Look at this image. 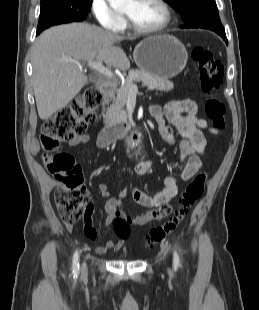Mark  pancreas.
<instances>
[{
  "label": "pancreas",
  "mask_w": 259,
  "mask_h": 310,
  "mask_svg": "<svg viewBox=\"0 0 259 310\" xmlns=\"http://www.w3.org/2000/svg\"><path fill=\"white\" fill-rule=\"evenodd\" d=\"M142 82L149 90L170 91L174 88V84L168 80L149 75L140 70H132L125 79L124 85L118 89L115 88L111 95H108L107 100H112L110 107L107 108L104 114V122L109 125L127 122V113L124 106L127 102L130 93L129 87L133 82ZM114 84L116 82H113Z\"/></svg>",
  "instance_id": "obj_1"
}]
</instances>
